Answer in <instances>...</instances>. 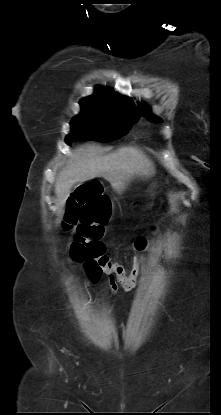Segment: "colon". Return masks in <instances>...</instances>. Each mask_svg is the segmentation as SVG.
I'll list each match as a JSON object with an SVG mask.
<instances>
[{
    "mask_svg": "<svg viewBox=\"0 0 221 415\" xmlns=\"http://www.w3.org/2000/svg\"><path fill=\"white\" fill-rule=\"evenodd\" d=\"M109 217V200L97 185H85L73 194L63 221L65 228L76 226L71 256L74 260L84 263L92 277L102 274L109 283L119 284L118 288L123 294H130L136 289L137 279L141 273V252L147 248L148 241L145 236L135 239L134 247L138 252L132 257L128 267L124 262L104 255L105 246L101 238Z\"/></svg>",
    "mask_w": 221,
    "mask_h": 415,
    "instance_id": "1",
    "label": "colon"
}]
</instances>
